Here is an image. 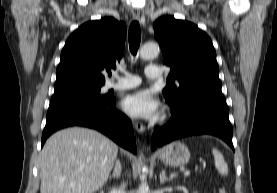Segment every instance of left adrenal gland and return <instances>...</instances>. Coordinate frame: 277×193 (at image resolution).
Returning <instances> with one entry per match:
<instances>
[{
    "label": "left adrenal gland",
    "mask_w": 277,
    "mask_h": 193,
    "mask_svg": "<svg viewBox=\"0 0 277 193\" xmlns=\"http://www.w3.org/2000/svg\"><path fill=\"white\" fill-rule=\"evenodd\" d=\"M171 179L172 177L168 178L166 176L165 169H163L162 172L160 173V183L163 184L164 182L169 181Z\"/></svg>",
    "instance_id": "1"
}]
</instances>
